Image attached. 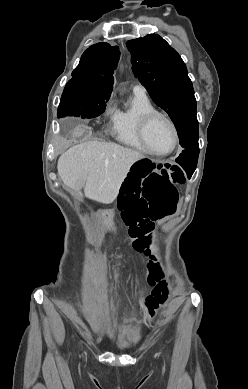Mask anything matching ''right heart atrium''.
I'll list each match as a JSON object with an SVG mask.
<instances>
[{
  "label": "right heart atrium",
  "mask_w": 248,
  "mask_h": 389,
  "mask_svg": "<svg viewBox=\"0 0 248 389\" xmlns=\"http://www.w3.org/2000/svg\"><path fill=\"white\" fill-rule=\"evenodd\" d=\"M113 112H114V107H113V105H112L111 103H108V104L106 105V108H105V111H104L105 115H112Z\"/></svg>",
  "instance_id": "right-heart-atrium-1"
}]
</instances>
